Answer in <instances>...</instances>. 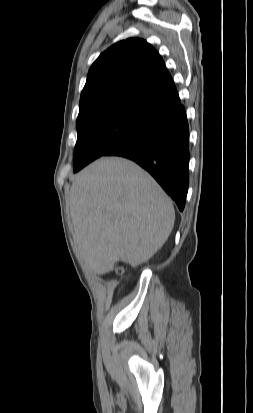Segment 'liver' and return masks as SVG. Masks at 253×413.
<instances>
[{"label": "liver", "mask_w": 253, "mask_h": 413, "mask_svg": "<svg viewBox=\"0 0 253 413\" xmlns=\"http://www.w3.org/2000/svg\"><path fill=\"white\" fill-rule=\"evenodd\" d=\"M73 239L88 269L102 275L119 262L136 267L167 241L171 199L140 166L105 157L84 168L69 195Z\"/></svg>", "instance_id": "1"}]
</instances>
